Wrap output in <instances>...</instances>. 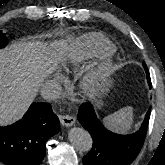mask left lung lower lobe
Listing matches in <instances>:
<instances>
[{
	"mask_svg": "<svg viewBox=\"0 0 165 165\" xmlns=\"http://www.w3.org/2000/svg\"><path fill=\"white\" fill-rule=\"evenodd\" d=\"M151 88V84H149ZM149 108L139 131L130 135H119L107 130L97 118L91 103H83L77 115L80 124L90 133L93 145L83 157L84 165H130L144 143L149 118Z\"/></svg>",
	"mask_w": 165,
	"mask_h": 165,
	"instance_id": "1",
	"label": "left lung lower lobe"
}]
</instances>
